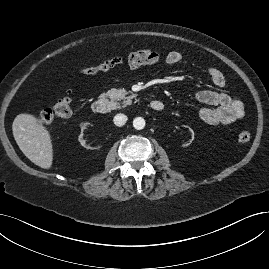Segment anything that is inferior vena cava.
Here are the masks:
<instances>
[{"mask_svg": "<svg viewBox=\"0 0 269 269\" xmlns=\"http://www.w3.org/2000/svg\"><path fill=\"white\" fill-rule=\"evenodd\" d=\"M113 121H114V124H115L116 126L121 127V126L125 125V123H126V121H127V116L124 115V114H117V115L114 117Z\"/></svg>", "mask_w": 269, "mask_h": 269, "instance_id": "obj_1", "label": "inferior vena cava"}]
</instances>
